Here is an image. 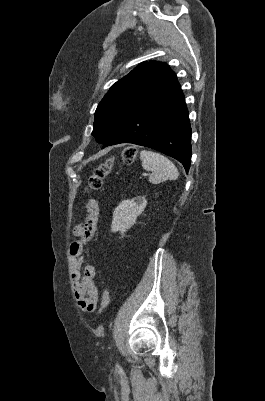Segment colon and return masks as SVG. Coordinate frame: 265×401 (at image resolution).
I'll use <instances>...</instances> for the list:
<instances>
[{
	"instance_id": "1",
	"label": "colon",
	"mask_w": 265,
	"mask_h": 401,
	"mask_svg": "<svg viewBox=\"0 0 265 401\" xmlns=\"http://www.w3.org/2000/svg\"><path fill=\"white\" fill-rule=\"evenodd\" d=\"M136 155H137V150L134 147H126L122 153V157L125 163L133 162ZM113 165H114V160L112 158H108L103 163L98 165L88 180L87 189L90 191L99 190L102 187L105 178L112 171ZM109 299H110L109 290L107 287H104L101 301V312H104L107 309L109 304Z\"/></svg>"
}]
</instances>
